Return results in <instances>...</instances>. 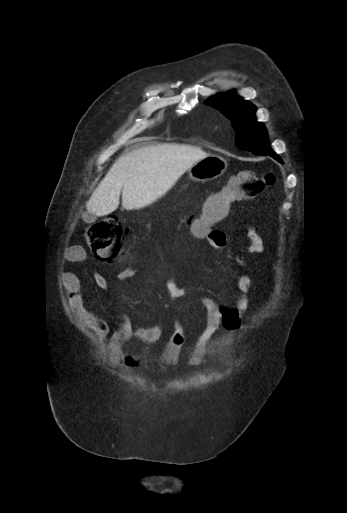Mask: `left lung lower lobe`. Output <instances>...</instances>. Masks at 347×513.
Segmentation results:
<instances>
[{"label":"left lung lower lobe","mask_w":347,"mask_h":513,"mask_svg":"<svg viewBox=\"0 0 347 513\" xmlns=\"http://www.w3.org/2000/svg\"><path fill=\"white\" fill-rule=\"evenodd\" d=\"M270 156L273 157L274 159H276L278 162L282 163V160L280 159V157H278V155H276L275 153L270 154Z\"/></svg>","instance_id":"obj_1"}]
</instances>
